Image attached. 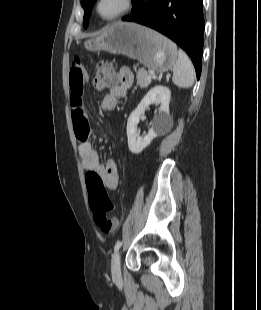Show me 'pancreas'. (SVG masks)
Here are the masks:
<instances>
[{"instance_id": "pancreas-1", "label": "pancreas", "mask_w": 261, "mask_h": 310, "mask_svg": "<svg viewBox=\"0 0 261 310\" xmlns=\"http://www.w3.org/2000/svg\"><path fill=\"white\" fill-rule=\"evenodd\" d=\"M151 84V79L148 78V73L144 69H139L137 72V85L140 88H146Z\"/></svg>"}]
</instances>
